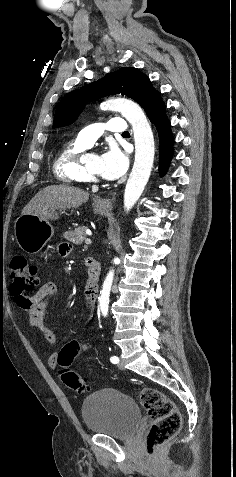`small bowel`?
<instances>
[{
	"label": "small bowel",
	"instance_id": "small-bowel-1",
	"mask_svg": "<svg viewBox=\"0 0 236 477\" xmlns=\"http://www.w3.org/2000/svg\"><path fill=\"white\" fill-rule=\"evenodd\" d=\"M69 252L67 245H62L60 254L65 256ZM57 292V285L54 281H47L42 284L39 290L33 296H24L21 298L19 307L27 312L29 324L41 331L43 337L49 343H56L55 333L44 324V315L51 299ZM86 307L90 311L96 297V291L89 285L86 287ZM57 354L52 353L48 357V364L51 367L57 366Z\"/></svg>",
	"mask_w": 236,
	"mask_h": 477
}]
</instances>
